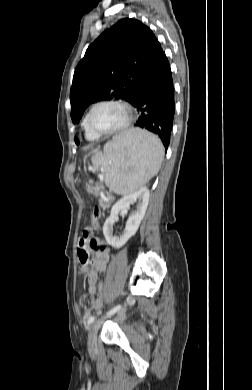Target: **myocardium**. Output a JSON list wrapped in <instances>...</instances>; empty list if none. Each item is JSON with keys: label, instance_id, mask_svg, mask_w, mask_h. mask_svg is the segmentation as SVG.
<instances>
[{"label": "myocardium", "instance_id": "1", "mask_svg": "<svg viewBox=\"0 0 252 390\" xmlns=\"http://www.w3.org/2000/svg\"><path fill=\"white\" fill-rule=\"evenodd\" d=\"M102 105H116V106L120 107L125 113V119L122 122V124H120L118 127L114 128V129L108 130V131H100V130L95 129L92 126V115H93L95 109L99 106H102ZM133 119H134V110L129 103H127L123 100H118V99H107V100H101V101L95 103L91 107V109L88 112V116H87V125L91 131H93L95 134H97L99 136H112V135L118 134V133L126 130L131 125Z\"/></svg>", "mask_w": 252, "mask_h": 390}]
</instances>
